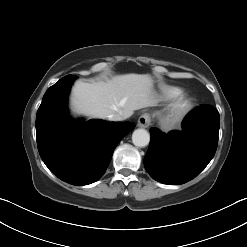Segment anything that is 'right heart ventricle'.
Here are the masks:
<instances>
[{
  "label": "right heart ventricle",
  "mask_w": 247,
  "mask_h": 247,
  "mask_svg": "<svg viewBox=\"0 0 247 247\" xmlns=\"http://www.w3.org/2000/svg\"><path fill=\"white\" fill-rule=\"evenodd\" d=\"M183 93H184V90L177 86H166L162 89V96L167 101L177 99Z\"/></svg>",
  "instance_id": "1"
}]
</instances>
